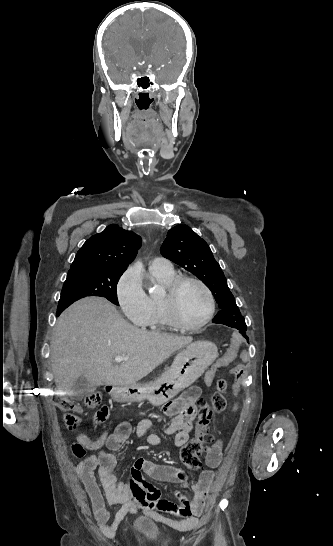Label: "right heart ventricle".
Here are the masks:
<instances>
[{
	"label": "right heart ventricle",
	"instance_id": "obj_1",
	"mask_svg": "<svg viewBox=\"0 0 333 546\" xmlns=\"http://www.w3.org/2000/svg\"><path fill=\"white\" fill-rule=\"evenodd\" d=\"M153 278L161 284L164 288H167L176 278L177 275L174 271L171 272H158L151 271ZM150 303V314L146 319L144 326L152 331H166L172 328V325L167 320L162 304L161 296L150 295L148 296Z\"/></svg>",
	"mask_w": 333,
	"mask_h": 546
}]
</instances>
